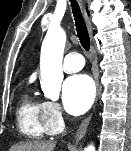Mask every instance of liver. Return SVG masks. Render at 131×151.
Returning a JSON list of instances; mask_svg holds the SVG:
<instances>
[{
	"instance_id": "liver-1",
	"label": "liver",
	"mask_w": 131,
	"mask_h": 151,
	"mask_svg": "<svg viewBox=\"0 0 131 151\" xmlns=\"http://www.w3.org/2000/svg\"><path fill=\"white\" fill-rule=\"evenodd\" d=\"M55 146V142H27L12 147L10 151H53Z\"/></svg>"
}]
</instances>
